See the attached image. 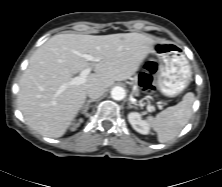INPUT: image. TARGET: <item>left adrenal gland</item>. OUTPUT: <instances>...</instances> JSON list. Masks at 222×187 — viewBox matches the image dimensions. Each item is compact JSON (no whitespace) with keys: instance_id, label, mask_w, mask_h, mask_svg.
Here are the masks:
<instances>
[{"instance_id":"1","label":"left adrenal gland","mask_w":222,"mask_h":187,"mask_svg":"<svg viewBox=\"0 0 222 187\" xmlns=\"http://www.w3.org/2000/svg\"><path fill=\"white\" fill-rule=\"evenodd\" d=\"M128 108H134V106L131 104V102L128 103Z\"/></svg>"}]
</instances>
